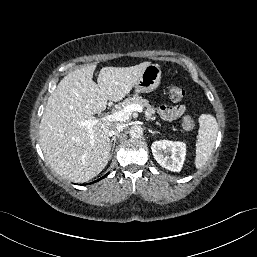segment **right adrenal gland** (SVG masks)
I'll use <instances>...</instances> for the list:
<instances>
[{
	"instance_id": "1",
	"label": "right adrenal gland",
	"mask_w": 257,
	"mask_h": 257,
	"mask_svg": "<svg viewBox=\"0 0 257 257\" xmlns=\"http://www.w3.org/2000/svg\"><path fill=\"white\" fill-rule=\"evenodd\" d=\"M117 137H118V135L114 136V137L111 139V141H110L111 147H112V143L114 142L112 152H113V150H114V148H115V142H116V138H117ZM111 157H112V154L110 155V158H111Z\"/></svg>"
}]
</instances>
